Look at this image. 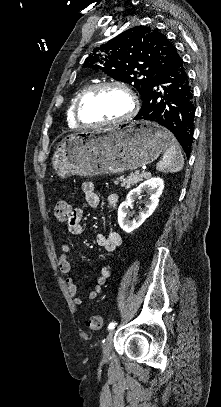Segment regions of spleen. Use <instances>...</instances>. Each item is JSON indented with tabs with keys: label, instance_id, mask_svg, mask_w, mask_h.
I'll return each mask as SVG.
<instances>
[{
	"label": "spleen",
	"instance_id": "spleen-1",
	"mask_svg": "<svg viewBox=\"0 0 221 407\" xmlns=\"http://www.w3.org/2000/svg\"><path fill=\"white\" fill-rule=\"evenodd\" d=\"M184 166V158L180 146L175 138L171 137L163 158L157 163L156 169L161 172H179Z\"/></svg>",
	"mask_w": 221,
	"mask_h": 407
}]
</instances>
